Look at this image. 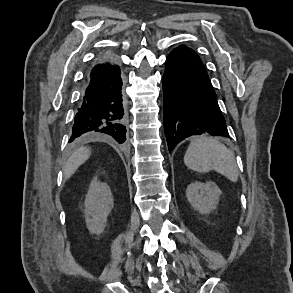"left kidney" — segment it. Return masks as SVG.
<instances>
[{
  "mask_svg": "<svg viewBox=\"0 0 293 293\" xmlns=\"http://www.w3.org/2000/svg\"><path fill=\"white\" fill-rule=\"evenodd\" d=\"M221 190L214 182H193L186 188L191 206L201 214H209L219 203Z\"/></svg>",
  "mask_w": 293,
  "mask_h": 293,
  "instance_id": "left-kidney-1",
  "label": "left kidney"
}]
</instances>
